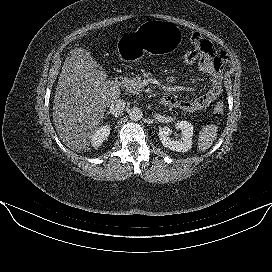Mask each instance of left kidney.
<instances>
[{
	"instance_id": "5707ae66",
	"label": "left kidney",
	"mask_w": 272,
	"mask_h": 272,
	"mask_svg": "<svg viewBox=\"0 0 272 272\" xmlns=\"http://www.w3.org/2000/svg\"><path fill=\"white\" fill-rule=\"evenodd\" d=\"M176 129L181 130V138L174 140L170 137L171 129L167 126L159 129V139L164 147L177 152H187L192 147L193 125L188 121H178Z\"/></svg>"
}]
</instances>
